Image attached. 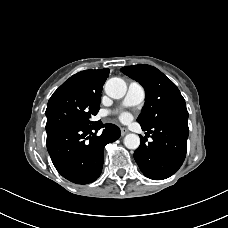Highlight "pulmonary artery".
<instances>
[{
    "label": "pulmonary artery",
    "instance_id": "e3ab8cb5",
    "mask_svg": "<svg viewBox=\"0 0 228 228\" xmlns=\"http://www.w3.org/2000/svg\"><path fill=\"white\" fill-rule=\"evenodd\" d=\"M146 93L144 87L136 82L132 81L128 85L127 93L123 99L124 106H135L142 103L145 99Z\"/></svg>",
    "mask_w": 228,
    "mask_h": 228
}]
</instances>
